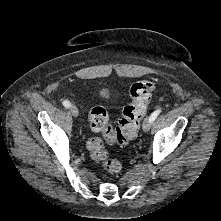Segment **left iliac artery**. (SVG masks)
Listing matches in <instances>:
<instances>
[{
  "instance_id": "44dca946",
  "label": "left iliac artery",
  "mask_w": 221,
  "mask_h": 221,
  "mask_svg": "<svg viewBox=\"0 0 221 221\" xmlns=\"http://www.w3.org/2000/svg\"><path fill=\"white\" fill-rule=\"evenodd\" d=\"M160 112H161V109H158V110L154 111L150 115V121L153 122L157 118V116L160 114Z\"/></svg>"
}]
</instances>
